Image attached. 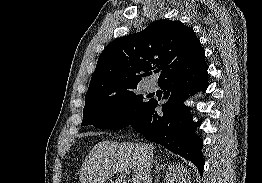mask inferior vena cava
Returning <instances> with one entry per match:
<instances>
[{
	"label": "inferior vena cava",
	"instance_id": "obj_1",
	"mask_svg": "<svg viewBox=\"0 0 262 183\" xmlns=\"http://www.w3.org/2000/svg\"><path fill=\"white\" fill-rule=\"evenodd\" d=\"M143 152L145 153L147 165L152 167L153 165V153L149 151L148 146L146 144H140Z\"/></svg>",
	"mask_w": 262,
	"mask_h": 183
}]
</instances>
